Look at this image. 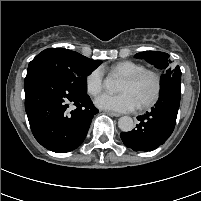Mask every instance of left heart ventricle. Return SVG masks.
I'll return each instance as SVG.
<instances>
[{
	"mask_svg": "<svg viewBox=\"0 0 201 201\" xmlns=\"http://www.w3.org/2000/svg\"><path fill=\"white\" fill-rule=\"evenodd\" d=\"M154 87V80L150 76H146L136 83H129L126 80H123L119 90L120 92L130 93L137 105H139L152 96Z\"/></svg>",
	"mask_w": 201,
	"mask_h": 201,
	"instance_id": "obj_1",
	"label": "left heart ventricle"
}]
</instances>
